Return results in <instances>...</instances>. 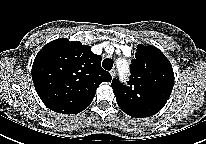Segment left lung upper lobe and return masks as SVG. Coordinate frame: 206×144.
<instances>
[{
    "instance_id": "5c2ea615",
    "label": "left lung upper lobe",
    "mask_w": 206,
    "mask_h": 144,
    "mask_svg": "<svg viewBox=\"0 0 206 144\" xmlns=\"http://www.w3.org/2000/svg\"><path fill=\"white\" fill-rule=\"evenodd\" d=\"M130 71L127 86L118 79L111 84L119 107L132 117L156 114L166 104L174 85L169 60L156 47L139 44Z\"/></svg>"
}]
</instances>
